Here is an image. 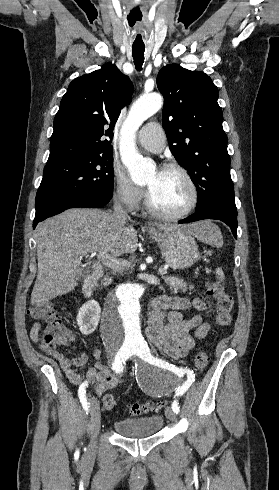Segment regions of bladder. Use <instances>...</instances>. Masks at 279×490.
<instances>
[{"mask_svg":"<svg viewBox=\"0 0 279 490\" xmlns=\"http://www.w3.org/2000/svg\"><path fill=\"white\" fill-rule=\"evenodd\" d=\"M165 419L160 414L147 417L125 418L113 422L112 429L120 436L145 437L160 433Z\"/></svg>","mask_w":279,"mask_h":490,"instance_id":"bladder-1","label":"bladder"}]
</instances>
